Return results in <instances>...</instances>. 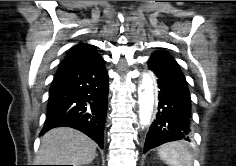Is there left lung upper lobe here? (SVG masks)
I'll list each match as a JSON object with an SVG mask.
<instances>
[{
	"mask_svg": "<svg viewBox=\"0 0 236 166\" xmlns=\"http://www.w3.org/2000/svg\"><path fill=\"white\" fill-rule=\"evenodd\" d=\"M164 53H166V52H163V51H157V52H155L153 55L164 54Z\"/></svg>",
	"mask_w": 236,
	"mask_h": 166,
	"instance_id": "obj_1",
	"label": "left lung upper lobe"
}]
</instances>
